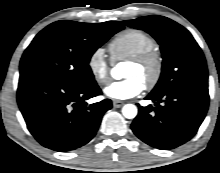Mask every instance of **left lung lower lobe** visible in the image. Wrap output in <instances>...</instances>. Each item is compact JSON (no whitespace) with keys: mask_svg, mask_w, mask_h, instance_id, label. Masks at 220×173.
Listing matches in <instances>:
<instances>
[{"mask_svg":"<svg viewBox=\"0 0 220 173\" xmlns=\"http://www.w3.org/2000/svg\"><path fill=\"white\" fill-rule=\"evenodd\" d=\"M146 99L156 107H141L131 124L134 134L146 144L174 149L189 141L197 132L208 110V88L180 87L154 94ZM163 103L160 105V103Z\"/></svg>","mask_w":220,"mask_h":173,"instance_id":"0a47b994","label":"left lung lower lobe"}]
</instances>
